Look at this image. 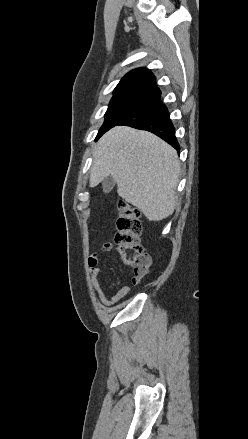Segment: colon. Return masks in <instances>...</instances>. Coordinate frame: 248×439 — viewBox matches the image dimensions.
I'll use <instances>...</instances> for the list:
<instances>
[{
  "label": "colon",
  "mask_w": 248,
  "mask_h": 439,
  "mask_svg": "<svg viewBox=\"0 0 248 439\" xmlns=\"http://www.w3.org/2000/svg\"><path fill=\"white\" fill-rule=\"evenodd\" d=\"M118 211L114 247L121 255L123 263L132 269L133 277L140 281L151 265L150 256L140 242L142 232L140 213L134 205L124 200L119 201Z\"/></svg>",
  "instance_id": "5ec220e1"
}]
</instances>
